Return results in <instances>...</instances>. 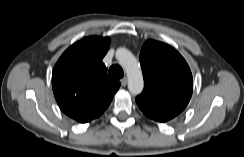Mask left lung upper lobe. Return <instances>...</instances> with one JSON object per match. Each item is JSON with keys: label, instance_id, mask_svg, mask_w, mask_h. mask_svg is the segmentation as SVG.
<instances>
[{"label": "left lung upper lobe", "instance_id": "5c2ea615", "mask_svg": "<svg viewBox=\"0 0 244 157\" xmlns=\"http://www.w3.org/2000/svg\"><path fill=\"white\" fill-rule=\"evenodd\" d=\"M144 90L136 97L143 114L158 122H167L188 105L193 78L184 58L171 46L147 40L140 52Z\"/></svg>", "mask_w": 244, "mask_h": 157}]
</instances>
